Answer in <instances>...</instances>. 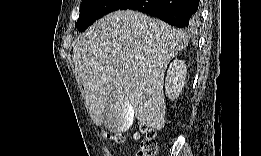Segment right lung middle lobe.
I'll return each instance as SVG.
<instances>
[{
	"mask_svg": "<svg viewBox=\"0 0 261 156\" xmlns=\"http://www.w3.org/2000/svg\"><path fill=\"white\" fill-rule=\"evenodd\" d=\"M128 0H83L80 6V16L75 27L79 31L86 30L103 15L117 10Z\"/></svg>",
	"mask_w": 261,
	"mask_h": 156,
	"instance_id": "right-lung-middle-lobe-1",
	"label": "right lung middle lobe"
}]
</instances>
